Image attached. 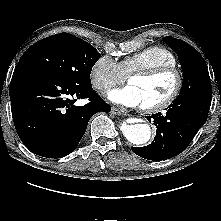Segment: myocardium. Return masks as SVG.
<instances>
[{
    "instance_id": "myocardium-1",
    "label": "myocardium",
    "mask_w": 221,
    "mask_h": 221,
    "mask_svg": "<svg viewBox=\"0 0 221 221\" xmlns=\"http://www.w3.org/2000/svg\"><path fill=\"white\" fill-rule=\"evenodd\" d=\"M164 74H172L176 78L175 86L171 94L164 100L149 106H141V109L148 113H158L169 108L179 97L184 83L181 70L176 66H158L149 69L133 71L128 75V82L134 77L153 78Z\"/></svg>"
}]
</instances>
